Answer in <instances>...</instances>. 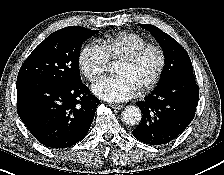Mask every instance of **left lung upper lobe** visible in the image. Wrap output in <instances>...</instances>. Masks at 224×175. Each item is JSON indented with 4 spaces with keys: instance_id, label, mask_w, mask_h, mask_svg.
Listing matches in <instances>:
<instances>
[{
    "instance_id": "5c2ea615",
    "label": "left lung upper lobe",
    "mask_w": 224,
    "mask_h": 175,
    "mask_svg": "<svg viewBox=\"0 0 224 175\" xmlns=\"http://www.w3.org/2000/svg\"><path fill=\"white\" fill-rule=\"evenodd\" d=\"M139 25L155 37L164 52L165 66L159 83L180 74H193V67L189 55L176 40L154 25Z\"/></svg>"
}]
</instances>
